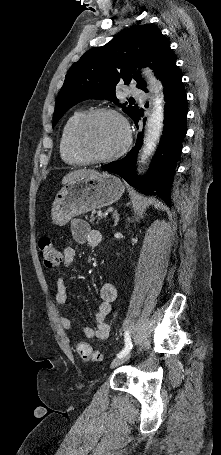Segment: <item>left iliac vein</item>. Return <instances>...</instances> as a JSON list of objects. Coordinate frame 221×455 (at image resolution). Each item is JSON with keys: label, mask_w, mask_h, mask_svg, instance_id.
I'll use <instances>...</instances> for the list:
<instances>
[{"label": "left iliac vein", "mask_w": 221, "mask_h": 455, "mask_svg": "<svg viewBox=\"0 0 221 455\" xmlns=\"http://www.w3.org/2000/svg\"><path fill=\"white\" fill-rule=\"evenodd\" d=\"M130 358V354H126L122 357H117L116 359H114L110 365L111 368H115L121 364H123L124 362H126L128 359Z\"/></svg>", "instance_id": "left-iliac-vein-1"}]
</instances>
